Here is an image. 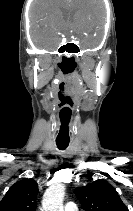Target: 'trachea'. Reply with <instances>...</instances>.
<instances>
[{
	"label": "trachea",
	"mask_w": 133,
	"mask_h": 211,
	"mask_svg": "<svg viewBox=\"0 0 133 211\" xmlns=\"http://www.w3.org/2000/svg\"><path fill=\"white\" fill-rule=\"evenodd\" d=\"M56 144H57V147L60 149V150H64L67 148V146L69 145V141H60V140H56Z\"/></svg>",
	"instance_id": "3493384b"
}]
</instances>
